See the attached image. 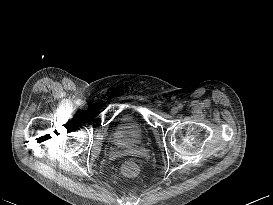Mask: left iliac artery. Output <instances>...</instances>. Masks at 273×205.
<instances>
[{"instance_id": "44dca946", "label": "left iliac artery", "mask_w": 273, "mask_h": 205, "mask_svg": "<svg viewBox=\"0 0 273 205\" xmlns=\"http://www.w3.org/2000/svg\"><path fill=\"white\" fill-rule=\"evenodd\" d=\"M178 108H179V109H182V108H183V105H182V104H179V105H178Z\"/></svg>"}]
</instances>
